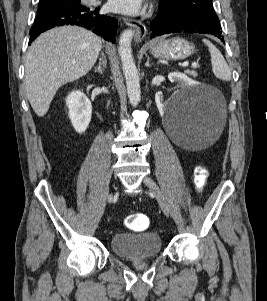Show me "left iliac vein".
<instances>
[{"instance_id": "obj_1", "label": "left iliac vein", "mask_w": 267, "mask_h": 301, "mask_svg": "<svg viewBox=\"0 0 267 301\" xmlns=\"http://www.w3.org/2000/svg\"><path fill=\"white\" fill-rule=\"evenodd\" d=\"M143 183L149 188V190L152 192V194L155 196L156 200L158 201L161 209L163 212L169 216L170 214V209L169 205L167 203V200L159 188V186L156 184V182L149 176H145L143 178Z\"/></svg>"}]
</instances>
